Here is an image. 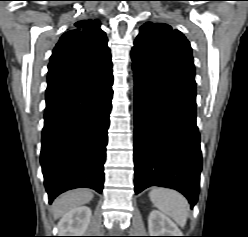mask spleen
Segmentation results:
<instances>
[{
    "mask_svg": "<svg viewBox=\"0 0 248 237\" xmlns=\"http://www.w3.org/2000/svg\"><path fill=\"white\" fill-rule=\"evenodd\" d=\"M149 197L156 208L170 216L179 226H185L189 204L183 195L167 188H154L149 192Z\"/></svg>",
    "mask_w": 248,
    "mask_h": 237,
    "instance_id": "1",
    "label": "spleen"
}]
</instances>
